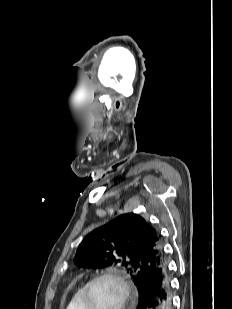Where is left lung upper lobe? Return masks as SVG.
I'll return each instance as SVG.
<instances>
[{"label":"left lung upper lobe","mask_w":232,"mask_h":309,"mask_svg":"<svg viewBox=\"0 0 232 309\" xmlns=\"http://www.w3.org/2000/svg\"><path fill=\"white\" fill-rule=\"evenodd\" d=\"M165 261L160 233L137 214H123L89 233L75 255L79 267H124L138 293L148 274Z\"/></svg>","instance_id":"1"}]
</instances>
